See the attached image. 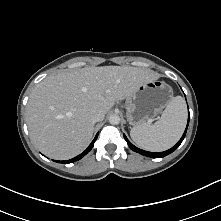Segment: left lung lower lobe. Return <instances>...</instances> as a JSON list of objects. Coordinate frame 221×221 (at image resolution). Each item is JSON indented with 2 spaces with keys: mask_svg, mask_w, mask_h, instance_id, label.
<instances>
[{
  "mask_svg": "<svg viewBox=\"0 0 221 221\" xmlns=\"http://www.w3.org/2000/svg\"><path fill=\"white\" fill-rule=\"evenodd\" d=\"M188 124H189V118H188V123H187V127L185 129V132L183 133L181 139L178 141V143L176 145H174L171 149L167 150V151H164V152H158V153H155V152H148V151H145V150H141L139 148H137L136 146H134L128 139L127 137L124 135V138L125 140L127 141L128 143V146L135 152L137 153H140L141 155H144V156H147V157H151V158H162V157H165L166 155H169L170 153L174 152L179 146L180 144L182 143L183 139L185 138V135H186V131H187V128H188Z\"/></svg>",
  "mask_w": 221,
  "mask_h": 221,
  "instance_id": "0a47b994",
  "label": "left lung lower lobe"
}]
</instances>
